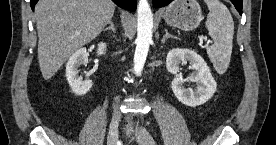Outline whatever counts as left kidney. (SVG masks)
<instances>
[{
    "mask_svg": "<svg viewBox=\"0 0 276 145\" xmlns=\"http://www.w3.org/2000/svg\"><path fill=\"white\" fill-rule=\"evenodd\" d=\"M190 64L194 71L188 77L190 82L196 83V89H186L184 80L178 76L179 65ZM168 72L175 75L171 87L176 98L186 106L196 107L207 102L215 93L217 83L204 59L191 49L175 48L169 51L166 58Z\"/></svg>",
    "mask_w": 276,
    "mask_h": 145,
    "instance_id": "5707ae66",
    "label": "left kidney"
}]
</instances>
